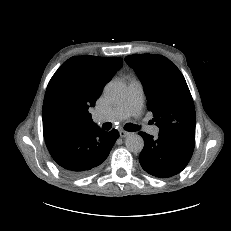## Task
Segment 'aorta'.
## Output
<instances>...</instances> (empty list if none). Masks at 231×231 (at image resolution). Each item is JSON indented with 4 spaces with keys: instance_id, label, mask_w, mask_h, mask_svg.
<instances>
[{
    "instance_id": "aorta-1",
    "label": "aorta",
    "mask_w": 231,
    "mask_h": 231,
    "mask_svg": "<svg viewBox=\"0 0 231 231\" xmlns=\"http://www.w3.org/2000/svg\"><path fill=\"white\" fill-rule=\"evenodd\" d=\"M105 97L113 103H119L125 99L126 86L121 81H111L104 88ZM126 148L132 153H139L144 147L143 138L135 133L127 136Z\"/></svg>"
}]
</instances>
